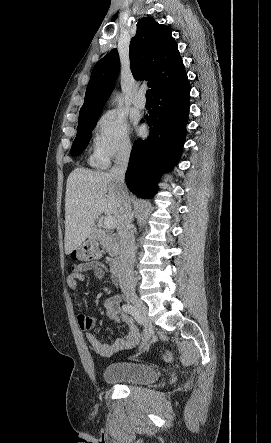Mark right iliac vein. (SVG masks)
<instances>
[{
  "instance_id": "1",
  "label": "right iliac vein",
  "mask_w": 271,
  "mask_h": 443,
  "mask_svg": "<svg viewBox=\"0 0 271 443\" xmlns=\"http://www.w3.org/2000/svg\"><path fill=\"white\" fill-rule=\"evenodd\" d=\"M127 299L137 308L142 319L145 322V332H144L143 343L141 346V347H143L144 345H146L148 340L154 334V328H153L152 322L150 321V319L148 317L147 308H146L145 304L135 294L128 295Z\"/></svg>"
}]
</instances>
